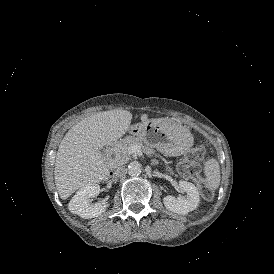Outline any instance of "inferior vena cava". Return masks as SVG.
<instances>
[{
	"label": "inferior vena cava",
	"instance_id": "1",
	"mask_svg": "<svg viewBox=\"0 0 274 274\" xmlns=\"http://www.w3.org/2000/svg\"><path fill=\"white\" fill-rule=\"evenodd\" d=\"M126 173H127V168L125 166H120L115 170L114 175L116 177H123Z\"/></svg>",
	"mask_w": 274,
	"mask_h": 274
}]
</instances>
